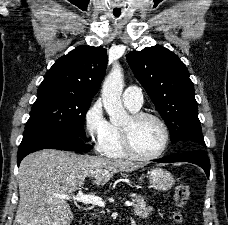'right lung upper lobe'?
Wrapping results in <instances>:
<instances>
[{
    "label": "right lung upper lobe",
    "instance_id": "obj_1",
    "mask_svg": "<svg viewBox=\"0 0 228 225\" xmlns=\"http://www.w3.org/2000/svg\"><path fill=\"white\" fill-rule=\"evenodd\" d=\"M107 61L103 47L78 46L55 62L40 87H60L93 97L105 75Z\"/></svg>",
    "mask_w": 228,
    "mask_h": 225
}]
</instances>
